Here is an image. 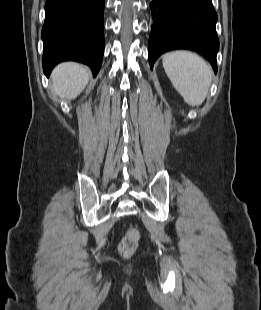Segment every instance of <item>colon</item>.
I'll return each instance as SVG.
<instances>
[{"instance_id":"colon-1","label":"colon","mask_w":261,"mask_h":310,"mask_svg":"<svg viewBox=\"0 0 261 310\" xmlns=\"http://www.w3.org/2000/svg\"><path fill=\"white\" fill-rule=\"evenodd\" d=\"M139 241V233L136 229L130 228L119 243V252L124 257L133 255Z\"/></svg>"}]
</instances>
